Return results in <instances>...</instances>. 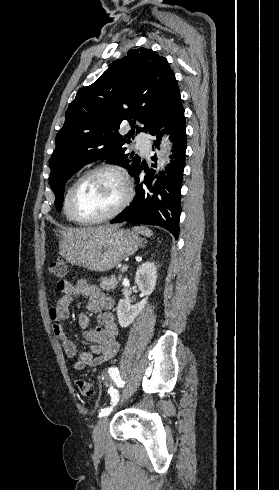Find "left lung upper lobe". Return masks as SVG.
<instances>
[{
    "instance_id": "1",
    "label": "left lung upper lobe",
    "mask_w": 279,
    "mask_h": 490,
    "mask_svg": "<svg viewBox=\"0 0 279 490\" xmlns=\"http://www.w3.org/2000/svg\"><path fill=\"white\" fill-rule=\"evenodd\" d=\"M178 97L179 87L167 59L143 47L129 50L96 82L79 89L66 111L49 162V184L57 210L62 207L67 180L90 162L106 159L132 174L140 157L125 153L123 145L130 143L125 137L134 138L136 121L144 125L136 132H147ZM123 120L131 125L125 136L118 133Z\"/></svg>"
}]
</instances>
